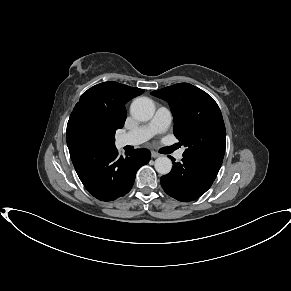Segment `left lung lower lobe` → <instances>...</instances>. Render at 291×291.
I'll use <instances>...</instances> for the list:
<instances>
[{
  "instance_id": "left-lung-lower-lobe-1",
  "label": "left lung lower lobe",
  "mask_w": 291,
  "mask_h": 291,
  "mask_svg": "<svg viewBox=\"0 0 291 291\" xmlns=\"http://www.w3.org/2000/svg\"><path fill=\"white\" fill-rule=\"evenodd\" d=\"M173 167L169 174L161 177L164 191L182 202H189L203 195L214 182L220 167L204 165L183 157L179 163L172 158Z\"/></svg>"
}]
</instances>
